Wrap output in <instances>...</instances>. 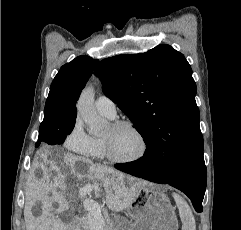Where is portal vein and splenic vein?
Returning <instances> with one entry per match:
<instances>
[{
    "label": "portal vein and splenic vein",
    "mask_w": 241,
    "mask_h": 230,
    "mask_svg": "<svg viewBox=\"0 0 241 230\" xmlns=\"http://www.w3.org/2000/svg\"><path fill=\"white\" fill-rule=\"evenodd\" d=\"M91 190L92 188L90 186L84 188L80 193L81 198H84L85 195L89 193ZM83 206L88 211L89 222L92 225L96 227H101L102 225H104L105 221L101 214L100 206L97 202L86 198L83 200Z\"/></svg>",
    "instance_id": "18ae733b"
}]
</instances>
